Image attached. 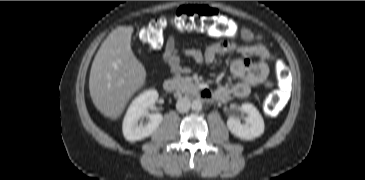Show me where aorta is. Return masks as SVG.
I'll return each instance as SVG.
<instances>
[{"mask_svg": "<svg viewBox=\"0 0 365 180\" xmlns=\"http://www.w3.org/2000/svg\"><path fill=\"white\" fill-rule=\"evenodd\" d=\"M191 108L194 111H200L202 109V102L200 100H194L191 104Z\"/></svg>", "mask_w": 365, "mask_h": 180, "instance_id": "1", "label": "aorta"}]
</instances>
